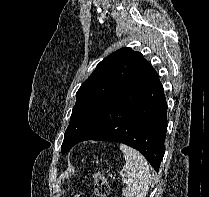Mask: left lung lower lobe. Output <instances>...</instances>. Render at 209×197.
<instances>
[{"label":"left lung lower lobe","instance_id":"0a47b994","mask_svg":"<svg viewBox=\"0 0 209 197\" xmlns=\"http://www.w3.org/2000/svg\"><path fill=\"white\" fill-rule=\"evenodd\" d=\"M167 117L163 86L152 68L118 97L79 140L115 141L137 149L158 172Z\"/></svg>","mask_w":209,"mask_h":197}]
</instances>
